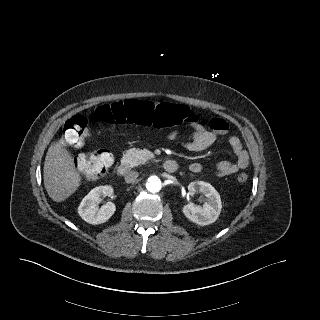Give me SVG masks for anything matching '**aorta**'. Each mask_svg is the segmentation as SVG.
<instances>
[{"mask_svg": "<svg viewBox=\"0 0 320 320\" xmlns=\"http://www.w3.org/2000/svg\"><path fill=\"white\" fill-rule=\"evenodd\" d=\"M146 188L151 193H156L161 190V180L159 177L153 175L150 176L146 183Z\"/></svg>", "mask_w": 320, "mask_h": 320, "instance_id": "obj_1", "label": "aorta"}]
</instances>
